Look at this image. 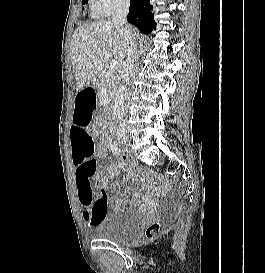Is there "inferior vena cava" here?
<instances>
[{"mask_svg": "<svg viewBox=\"0 0 265 273\" xmlns=\"http://www.w3.org/2000/svg\"><path fill=\"white\" fill-rule=\"evenodd\" d=\"M130 0H121L112 17V23L116 25L122 34L127 38L126 62L122 71V80L126 85H130L131 77L135 70V63L138 58L137 45L134 35L127 24ZM118 132H127L126 119H122L117 127Z\"/></svg>", "mask_w": 265, "mask_h": 273, "instance_id": "obj_1", "label": "inferior vena cava"}]
</instances>
